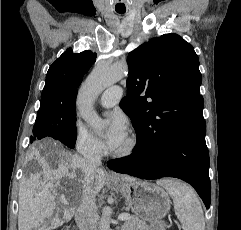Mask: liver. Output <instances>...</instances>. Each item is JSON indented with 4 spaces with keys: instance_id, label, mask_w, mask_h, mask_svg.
I'll return each mask as SVG.
<instances>
[{
    "instance_id": "6515ba94",
    "label": "liver",
    "mask_w": 241,
    "mask_h": 230,
    "mask_svg": "<svg viewBox=\"0 0 241 230\" xmlns=\"http://www.w3.org/2000/svg\"><path fill=\"white\" fill-rule=\"evenodd\" d=\"M32 148L27 155V161L35 160L37 170L29 177H23L19 188L18 230H33L40 227L46 219L52 218L54 226L60 224L54 215L56 195L49 190L48 181L54 180L59 186L62 178H68L73 190L66 191L68 201L80 203L84 198V180L82 179L81 165L83 158L64 150L59 146H52L46 150ZM91 194L96 195L106 183V174L103 169L96 168L94 172ZM125 182L136 181L135 178L123 176Z\"/></svg>"
}]
</instances>
